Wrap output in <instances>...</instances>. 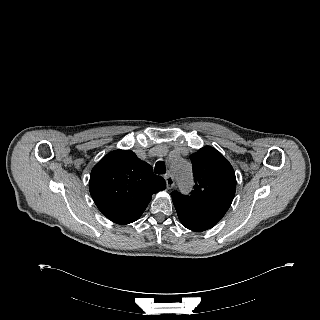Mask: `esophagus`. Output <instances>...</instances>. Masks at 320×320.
<instances>
[{
  "label": "esophagus",
  "instance_id": "obj_1",
  "mask_svg": "<svg viewBox=\"0 0 320 320\" xmlns=\"http://www.w3.org/2000/svg\"><path fill=\"white\" fill-rule=\"evenodd\" d=\"M165 181L168 189H172L174 186V178L171 174L165 175Z\"/></svg>",
  "mask_w": 320,
  "mask_h": 320
}]
</instances>
